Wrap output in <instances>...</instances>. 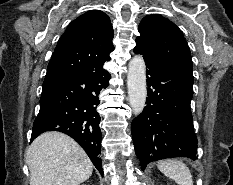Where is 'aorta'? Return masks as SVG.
<instances>
[{
    "label": "aorta",
    "mask_w": 233,
    "mask_h": 185,
    "mask_svg": "<svg viewBox=\"0 0 233 185\" xmlns=\"http://www.w3.org/2000/svg\"><path fill=\"white\" fill-rule=\"evenodd\" d=\"M127 86L129 104L133 113L139 115L146 103V67L142 56H134L128 67Z\"/></svg>",
    "instance_id": "1"
}]
</instances>
